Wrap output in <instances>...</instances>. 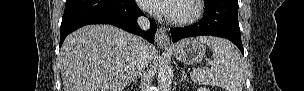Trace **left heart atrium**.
<instances>
[{"instance_id": "1", "label": "left heart atrium", "mask_w": 304, "mask_h": 91, "mask_svg": "<svg viewBox=\"0 0 304 91\" xmlns=\"http://www.w3.org/2000/svg\"><path fill=\"white\" fill-rule=\"evenodd\" d=\"M175 0H142L143 8L156 13L171 15Z\"/></svg>"}]
</instances>
